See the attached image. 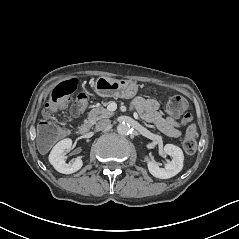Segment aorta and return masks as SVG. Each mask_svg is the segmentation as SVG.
<instances>
[{
    "mask_svg": "<svg viewBox=\"0 0 239 239\" xmlns=\"http://www.w3.org/2000/svg\"><path fill=\"white\" fill-rule=\"evenodd\" d=\"M130 131V127L128 124L126 123H120L118 126H117V132L121 135H126L128 134Z\"/></svg>",
    "mask_w": 239,
    "mask_h": 239,
    "instance_id": "aorta-1",
    "label": "aorta"
}]
</instances>
